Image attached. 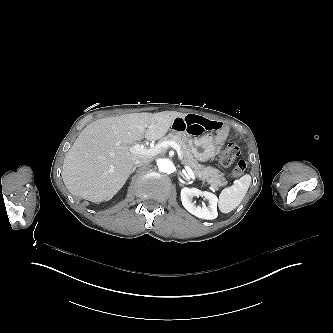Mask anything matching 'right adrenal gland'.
<instances>
[{
  "label": "right adrenal gland",
  "instance_id": "obj_1",
  "mask_svg": "<svg viewBox=\"0 0 333 333\" xmlns=\"http://www.w3.org/2000/svg\"><path fill=\"white\" fill-rule=\"evenodd\" d=\"M136 168L137 166H134V168L131 170V174L135 171Z\"/></svg>",
  "mask_w": 333,
  "mask_h": 333
}]
</instances>
